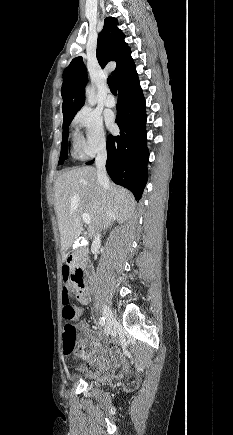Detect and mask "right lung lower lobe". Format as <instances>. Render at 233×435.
Returning a JSON list of instances; mask_svg holds the SVG:
<instances>
[{"label":"right lung lower lobe","instance_id":"obj_1","mask_svg":"<svg viewBox=\"0 0 233 435\" xmlns=\"http://www.w3.org/2000/svg\"><path fill=\"white\" fill-rule=\"evenodd\" d=\"M118 92L116 123L120 135L107 138L106 169L114 183L129 189L139 200L148 180L149 151L145 99L136 72L118 83Z\"/></svg>","mask_w":233,"mask_h":435}]
</instances>
